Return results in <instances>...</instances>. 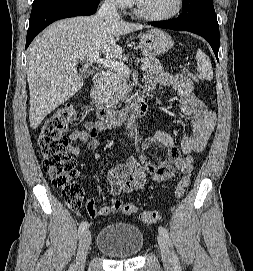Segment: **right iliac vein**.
Wrapping results in <instances>:
<instances>
[{
  "label": "right iliac vein",
  "instance_id": "obj_1",
  "mask_svg": "<svg viewBox=\"0 0 253 271\" xmlns=\"http://www.w3.org/2000/svg\"><path fill=\"white\" fill-rule=\"evenodd\" d=\"M90 244H91V234L90 231L87 230L82 234L79 241L75 271H83Z\"/></svg>",
  "mask_w": 253,
  "mask_h": 271
}]
</instances>
